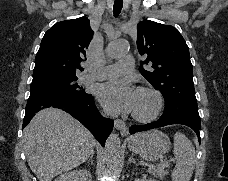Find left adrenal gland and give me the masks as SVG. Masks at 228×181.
I'll return each mask as SVG.
<instances>
[{
  "label": "left adrenal gland",
  "instance_id": "obj_1",
  "mask_svg": "<svg viewBox=\"0 0 228 181\" xmlns=\"http://www.w3.org/2000/svg\"><path fill=\"white\" fill-rule=\"evenodd\" d=\"M128 163H136L135 159H133V153H132Z\"/></svg>",
  "mask_w": 228,
  "mask_h": 181
}]
</instances>
